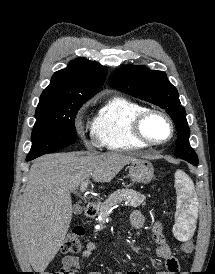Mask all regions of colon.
<instances>
[{
    "mask_svg": "<svg viewBox=\"0 0 215 274\" xmlns=\"http://www.w3.org/2000/svg\"><path fill=\"white\" fill-rule=\"evenodd\" d=\"M84 234V231L81 227L73 228L67 235L63 246L62 251L63 252H70V253H76L81 250L82 244H81V237ZM194 248V245L192 242H186L182 245V251L189 255L192 253ZM46 274H65L64 270L61 269L59 271L54 272H47Z\"/></svg>",
    "mask_w": 215,
    "mask_h": 274,
    "instance_id": "colon-1",
    "label": "colon"
}]
</instances>
